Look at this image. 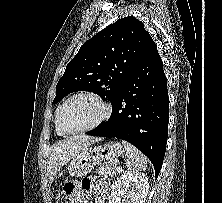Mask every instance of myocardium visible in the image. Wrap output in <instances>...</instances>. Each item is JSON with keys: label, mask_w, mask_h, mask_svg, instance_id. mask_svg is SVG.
I'll return each mask as SVG.
<instances>
[{"label": "myocardium", "mask_w": 222, "mask_h": 203, "mask_svg": "<svg viewBox=\"0 0 222 203\" xmlns=\"http://www.w3.org/2000/svg\"><path fill=\"white\" fill-rule=\"evenodd\" d=\"M81 97L89 98V99H92L95 102H97L102 107V114L98 120H96L93 124H91L89 126H86V127L80 128V129H74V130L67 129L63 126L62 120H61L63 111L72 100H74L76 98H81ZM111 111H112V109H111L110 104L107 103L99 95L94 94V93H89V92L77 93V94L70 96L59 108V111L57 113V120H56L57 126L65 134H79V133L88 132V131H91V130L99 127L103 122H105L110 117Z\"/></svg>", "instance_id": "obj_1"}]
</instances>
